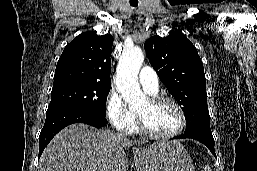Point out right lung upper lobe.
I'll use <instances>...</instances> for the list:
<instances>
[{
	"label": "right lung upper lobe",
	"mask_w": 257,
	"mask_h": 171,
	"mask_svg": "<svg viewBox=\"0 0 257 171\" xmlns=\"http://www.w3.org/2000/svg\"><path fill=\"white\" fill-rule=\"evenodd\" d=\"M113 37L82 33L64 48L56 66L53 89L75 83L111 84Z\"/></svg>",
	"instance_id": "1"
}]
</instances>
